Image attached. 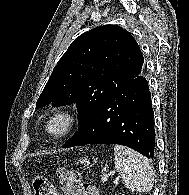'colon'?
<instances>
[{
    "label": "colon",
    "instance_id": "5ec220e1",
    "mask_svg": "<svg viewBox=\"0 0 189 195\" xmlns=\"http://www.w3.org/2000/svg\"><path fill=\"white\" fill-rule=\"evenodd\" d=\"M60 185L64 195H85L84 187L80 180V175L63 168L58 169ZM33 189L36 195H56L54 185L45 177L37 176L33 181Z\"/></svg>",
    "mask_w": 189,
    "mask_h": 195
}]
</instances>
